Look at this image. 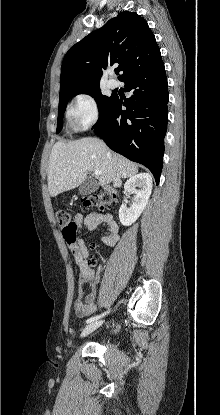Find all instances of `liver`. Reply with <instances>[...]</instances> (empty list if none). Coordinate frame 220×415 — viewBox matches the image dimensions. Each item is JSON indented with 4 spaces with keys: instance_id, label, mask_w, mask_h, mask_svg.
<instances>
[{
    "instance_id": "obj_1",
    "label": "liver",
    "mask_w": 220,
    "mask_h": 415,
    "mask_svg": "<svg viewBox=\"0 0 220 415\" xmlns=\"http://www.w3.org/2000/svg\"><path fill=\"white\" fill-rule=\"evenodd\" d=\"M100 170L99 184L104 186L120 178L138 173V166L109 150L103 141L86 137L77 141L54 144L47 172L51 197L81 185L89 172Z\"/></svg>"
}]
</instances>
